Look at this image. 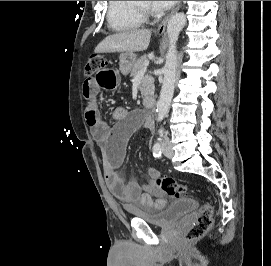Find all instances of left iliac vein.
I'll list each match as a JSON object with an SVG mask.
<instances>
[{
  "instance_id": "1",
  "label": "left iliac vein",
  "mask_w": 271,
  "mask_h": 266,
  "mask_svg": "<svg viewBox=\"0 0 271 266\" xmlns=\"http://www.w3.org/2000/svg\"><path fill=\"white\" fill-rule=\"evenodd\" d=\"M163 153L168 158H171L174 155V150L169 143L164 144Z\"/></svg>"
}]
</instances>
